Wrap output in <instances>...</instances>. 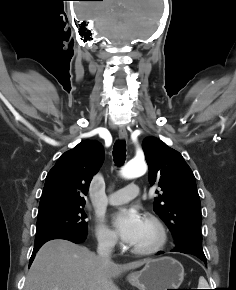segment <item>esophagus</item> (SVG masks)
I'll use <instances>...</instances> for the list:
<instances>
[{"label":"esophagus","instance_id":"34e87169","mask_svg":"<svg viewBox=\"0 0 236 290\" xmlns=\"http://www.w3.org/2000/svg\"><path fill=\"white\" fill-rule=\"evenodd\" d=\"M128 137V134H127V130L125 129V127H120L119 128V138L124 140V139H127Z\"/></svg>","mask_w":236,"mask_h":290}]
</instances>
